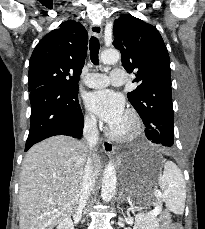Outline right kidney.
I'll return each mask as SVG.
<instances>
[{
  "instance_id": "right-kidney-1",
  "label": "right kidney",
  "mask_w": 205,
  "mask_h": 229,
  "mask_svg": "<svg viewBox=\"0 0 205 229\" xmlns=\"http://www.w3.org/2000/svg\"><path fill=\"white\" fill-rule=\"evenodd\" d=\"M56 229H74V224L70 218L63 219Z\"/></svg>"
}]
</instances>
